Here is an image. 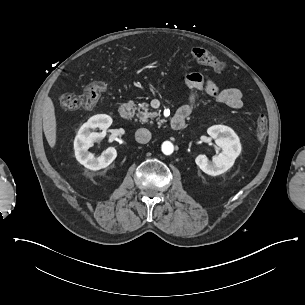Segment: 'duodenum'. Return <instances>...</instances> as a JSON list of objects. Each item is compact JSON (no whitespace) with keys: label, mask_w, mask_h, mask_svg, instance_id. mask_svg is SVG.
<instances>
[{"label":"duodenum","mask_w":305,"mask_h":305,"mask_svg":"<svg viewBox=\"0 0 305 305\" xmlns=\"http://www.w3.org/2000/svg\"><path fill=\"white\" fill-rule=\"evenodd\" d=\"M135 110V106L132 103H124L121 105L119 113L123 119L129 120L134 116ZM170 122L174 129H181L185 125L186 114L178 112L171 117Z\"/></svg>","instance_id":"obj_1"}]
</instances>
